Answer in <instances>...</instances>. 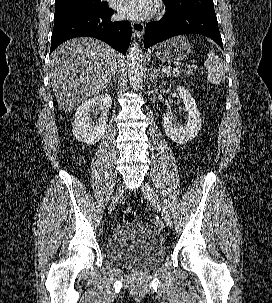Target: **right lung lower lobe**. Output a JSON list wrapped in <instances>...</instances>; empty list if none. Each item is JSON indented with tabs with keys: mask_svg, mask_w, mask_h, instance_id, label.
Returning a JSON list of instances; mask_svg holds the SVG:
<instances>
[{
	"mask_svg": "<svg viewBox=\"0 0 272 303\" xmlns=\"http://www.w3.org/2000/svg\"><path fill=\"white\" fill-rule=\"evenodd\" d=\"M113 13L107 7L102 12L86 11L54 19L50 53L68 39L88 36L105 41L125 55L131 41V24L111 21Z\"/></svg>",
	"mask_w": 272,
	"mask_h": 303,
	"instance_id": "right-lung-lower-lobe-1",
	"label": "right lung lower lobe"
}]
</instances>
